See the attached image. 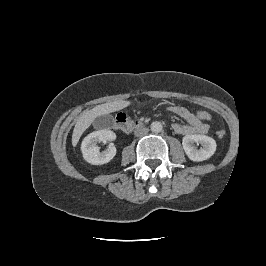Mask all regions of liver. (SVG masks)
Returning a JSON list of instances; mask_svg holds the SVG:
<instances>
[{
	"label": "liver",
	"mask_w": 266,
	"mask_h": 266,
	"mask_svg": "<svg viewBox=\"0 0 266 266\" xmlns=\"http://www.w3.org/2000/svg\"><path fill=\"white\" fill-rule=\"evenodd\" d=\"M130 104H131L130 101L118 100L97 105L91 110L84 111L83 114L77 120L73 130L72 134L73 147L77 145L84 131L92 124V122L97 117L122 110L128 107Z\"/></svg>",
	"instance_id": "obj_1"
}]
</instances>
